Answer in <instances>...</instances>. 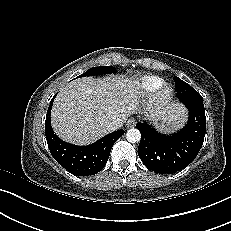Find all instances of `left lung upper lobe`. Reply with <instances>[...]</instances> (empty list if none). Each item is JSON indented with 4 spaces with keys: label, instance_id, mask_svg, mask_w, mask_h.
I'll return each mask as SVG.
<instances>
[{
    "label": "left lung upper lobe",
    "instance_id": "obj_1",
    "mask_svg": "<svg viewBox=\"0 0 231 231\" xmlns=\"http://www.w3.org/2000/svg\"><path fill=\"white\" fill-rule=\"evenodd\" d=\"M174 82L176 85L177 96L179 100H192V99L203 100L202 96L188 83L182 81L178 77H174Z\"/></svg>",
    "mask_w": 231,
    "mask_h": 231
}]
</instances>
